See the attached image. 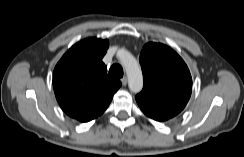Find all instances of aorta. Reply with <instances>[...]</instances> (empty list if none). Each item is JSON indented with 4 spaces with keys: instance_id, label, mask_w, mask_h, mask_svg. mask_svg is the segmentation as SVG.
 <instances>
[{
    "instance_id": "762f6f07",
    "label": "aorta",
    "mask_w": 244,
    "mask_h": 157,
    "mask_svg": "<svg viewBox=\"0 0 244 157\" xmlns=\"http://www.w3.org/2000/svg\"><path fill=\"white\" fill-rule=\"evenodd\" d=\"M119 59L125 68L129 89L134 93L140 92L143 88V76L136 59L125 50L121 51Z\"/></svg>"
}]
</instances>
